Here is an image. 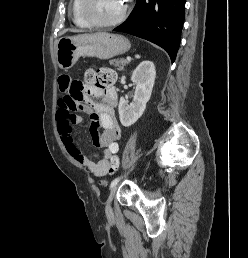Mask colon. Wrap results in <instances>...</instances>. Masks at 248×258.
I'll return each mask as SVG.
<instances>
[{
    "label": "colon",
    "mask_w": 248,
    "mask_h": 258,
    "mask_svg": "<svg viewBox=\"0 0 248 258\" xmlns=\"http://www.w3.org/2000/svg\"><path fill=\"white\" fill-rule=\"evenodd\" d=\"M116 80V73L109 68H101L98 70L88 69L84 74V82H78V88L75 90L76 96L80 97L87 86H103L113 85ZM119 166V159L115 156L111 159L110 171L116 172Z\"/></svg>",
    "instance_id": "1"
}]
</instances>
